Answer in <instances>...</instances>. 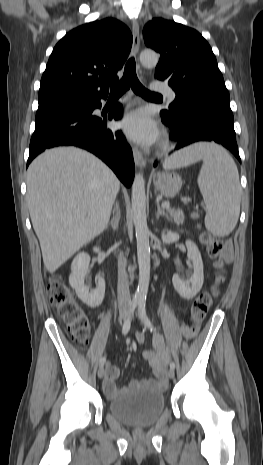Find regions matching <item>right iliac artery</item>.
I'll return each mask as SVG.
<instances>
[{
    "label": "right iliac artery",
    "mask_w": 263,
    "mask_h": 465,
    "mask_svg": "<svg viewBox=\"0 0 263 465\" xmlns=\"http://www.w3.org/2000/svg\"><path fill=\"white\" fill-rule=\"evenodd\" d=\"M137 305H138L137 302H132V304H131L129 314H128L126 320L124 321V324H123V327H122V333L124 335H126L130 330L132 316H133V313H134ZM105 362H106V358L102 357L101 360H100V366H103L105 364Z\"/></svg>",
    "instance_id": "82829eb1"
}]
</instances>
